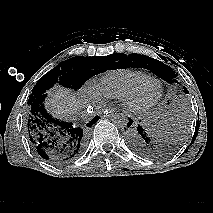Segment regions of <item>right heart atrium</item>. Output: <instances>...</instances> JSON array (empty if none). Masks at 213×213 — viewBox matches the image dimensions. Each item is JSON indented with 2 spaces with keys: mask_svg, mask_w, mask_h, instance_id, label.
<instances>
[{
  "mask_svg": "<svg viewBox=\"0 0 213 213\" xmlns=\"http://www.w3.org/2000/svg\"><path fill=\"white\" fill-rule=\"evenodd\" d=\"M87 92H88L92 97H94V98H99V97H100L99 91H98L97 88L94 87V86H89V87L87 88Z\"/></svg>",
  "mask_w": 213,
  "mask_h": 213,
  "instance_id": "d8ad5b80",
  "label": "right heart atrium"
}]
</instances>
